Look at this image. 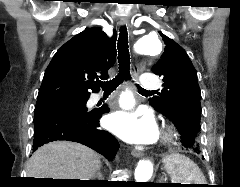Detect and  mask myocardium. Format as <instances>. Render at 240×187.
I'll return each instance as SVG.
<instances>
[{
    "instance_id": "f54148a6",
    "label": "myocardium",
    "mask_w": 240,
    "mask_h": 187,
    "mask_svg": "<svg viewBox=\"0 0 240 187\" xmlns=\"http://www.w3.org/2000/svg\"><path fill=\"white\" fill-rule=\"evenodd\" d=\"M174 136V132L172 128H166L163 132V142H170Z\"/></svg>"
}]
</instances>
